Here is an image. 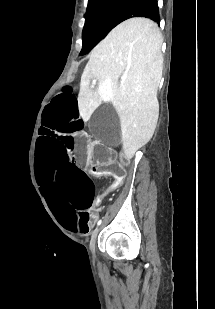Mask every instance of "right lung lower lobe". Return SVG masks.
Instances as JSON below:
<instances>
[{
  "instance_id": "right-lung-lower-lobe-1",
  "label": "right lung lower lobe",
  "mask_w": 215,
  "mask_h": 309,
  "mask_svg": "<svg viewBox=\"0 0 215 309\" xmlns=\"http://www.w3.org/2000/svg\"><path fill=\"white\" fill-rule=\"evenodd\" d=\"M133 17H146L159 23L157 0H130L116 24Z\"/></svg>"
}]
</instances>
